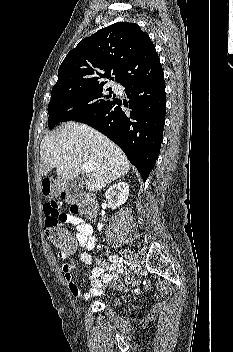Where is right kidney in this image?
Segmentation results:
<instances>
[{
	"label": "right kidney",
	"mask_w": 233,
	"mask_h": 352,
	"mask_svg": "<svg viewBox=\"0 0 233 352\" xmlns=\"http://www.w3.org/2000/svg\"><path fill=\"white\" fill-rule=\"evenodd\" d=\"M129 195V185L125 182H119L109 187L105 193V197L112 209H116L120 205L124 204ZM102 223H98L97 228L99 231L103 228Z\"/></svg>",
	"instance_id": "right-kidney-1"
}]
</instances>
